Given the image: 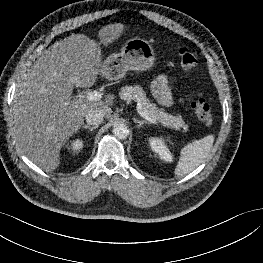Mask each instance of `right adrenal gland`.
Returning a JSON list of instances; mask_svg holds the SVG:
<instances>
[{"mask_svg":"<svg viewBox=\"0 0 263 263\" xmlns=\"http://www.w3.org/2000/svg\"><path fill=\"white\" fill-rule=\"evenodd\" d=\"M82 128L83 129H89L91 132L94 130V129H96L97 128V126H89V125H84V126H82Z\"/></svg>","mask_w":263,"mask_h":263,"instance_id":"right-adrenal-gland-1","label":"right adrenal gland"}]
</instances>
